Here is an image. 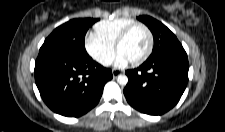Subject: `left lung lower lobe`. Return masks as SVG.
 <instances>
[{"mask_svg": "<svg viewBox=\"0 0 225 132\" xmlns=\"http://www.w3.org/2000/svg\"><path fill=\"white\" fill-rule=\"evenodd\" d=\"M189 63L185 51L147 59L141 66L127 70L124 88L127 102L136 110L161 115L180 100L188 82Z\"/></svg>", "mask_w": 225, "mask_h": 132, "instance_id": "0a47b994", "label": "left lung lower lobe"}]
</instances>
